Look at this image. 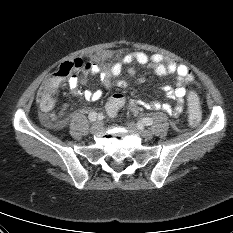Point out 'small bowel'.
<instances>
[{"mask_svg":"<svg viewBox=\"0 0 233 233\" xmlns=\"http://www.w3.org/2000/svg\"><path fill=\"white\" fill-rule=\"evenodd\" d=\"M106 56H112L108 53ZM152 66L155 72L160 76H166L175 74L177 77L176 87H166L165 92L169 99L176 100L174 107L169 104H160L158 102H143L139 100H133L131 102V108L133 110H139L144 107L150 110L162 109L169 115L177 116L183 110V103L186 97L188 98L187 89L185 84H194L196 81L189 67L174 59L165 58L161 54L148 55L144 52H132L122 56L118 61L109 65L106 69H101L99 64H92L89 68V73H100L101 83L105 89H110L113 85V79L119 76L124 67H128V73L130 76H135L137 66ZM143 82L144 79H139ZM70 89L79 97H82L88 101H96L103 97V89H84L78 91L79 85L85 84V77L78 78L75 75L69 78ZM116 85L120 88H125L127 83L125 80H118ZM50 119L53 121L54 126H60L62 122L57 121L54 116Z\"/></svg>","mask_w":233,"mask_h":233,"instance_id":"c3829d8e","label":"small bowel"}]
</instances>
